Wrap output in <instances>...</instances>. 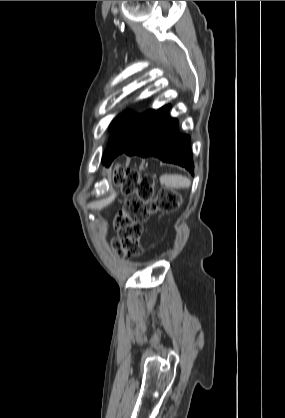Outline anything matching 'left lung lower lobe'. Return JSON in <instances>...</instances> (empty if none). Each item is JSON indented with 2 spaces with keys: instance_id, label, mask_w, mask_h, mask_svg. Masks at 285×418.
<instances>
[{
  "instance_id": "1",
  "label": "left lung lower lobe",
  "mask_w": 285,
  "mask_h": 418,
  "mask_svg": "<svg viewBox=\"0 0 285 418\" xmlns=\"http://www.w3.org/2000/svg\"><path fill=\"white\" fill-rule=\"evenodd\" d=\"M170 105L157 110L122 152L129 156H154L193 173L190 136L179 133L178 121L169 117ZM109 165V164H107Z\"/></svg>"
}]
</instances>
